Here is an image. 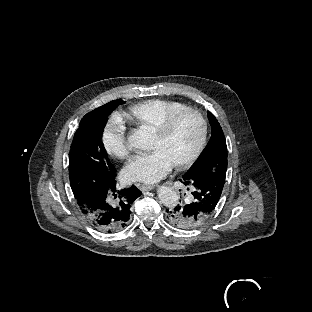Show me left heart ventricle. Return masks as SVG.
Listing matches in <instances>:
<instances>
[{
  "mask_svg": "<svg viewBox=\"0 0 312 312\" xmlns=\"http://www.w3.org/2000/svg\"><path fill=\"white\" fill-rule=\"evenodd\" d=\"M202 141L200 120L194 115L176 119L166 136L168 158L174 163L187 161Z\"/></svg>",
  "mask_w": 312,
  "mask_h": 312,
  "instance_id": "left-heart-ventricle-1",
  "label": "left heart ventricle"
}]
</instances>
